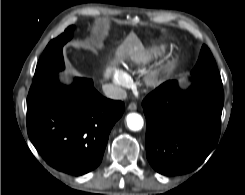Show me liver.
Listing matches in <instances>:
<instances>
[{
  "label": "liver",
  "mask_w": 245,
  "mask_h": 195,
  "mask_svg": "<svg viewBox=\"0 0 245 195\" xmlns=\"http://www.w3.org/2000/svg\"><path fill=\"white\" fill-rule=\"evenodd\" d=\"M118 55L120 57H129L137 62L146 59L142 43L134 33H130L118 48ZM111 73L112 68L108 67L104 72V78L108 79L111 76Z\"/></svg>",
  "instance_id": "obj_1"
}]
</instances>
